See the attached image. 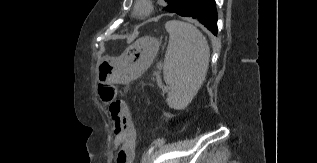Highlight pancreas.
Segmentation results:
<instances>
[{"label": "pancreas", "instance_id": "1", "mask_svg": "<svg viewBox=\"0 0 317 163\" xmlns=\"http://www.w3.org/2000/svg\"><path fill=\"white\" fill-rule=\"evenodd\" d=\"M156 74V76H157V79H159V73H155Z\"/></svg>", "mask_w": 317, "mask_h": 163}]
</instances>
